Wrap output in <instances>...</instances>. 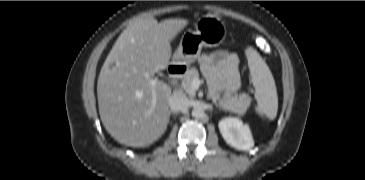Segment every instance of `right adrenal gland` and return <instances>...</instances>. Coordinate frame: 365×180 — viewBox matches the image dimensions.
<instances>
[{"label": "right adrenal gland", "instance_id": "2a0ac1e0", "mask_svg": "<svg viewBox=\"0 0 365 180\" xmlns=\"http://www.w3.org/2000/svg\"><path fill=\"white\" fill-rule=\"evenodd\" d=\"M172 115H176L177 113L176 112H170Z\"/></svg>", "mask_w": 365, "mask_h": 180}]
</instances>
